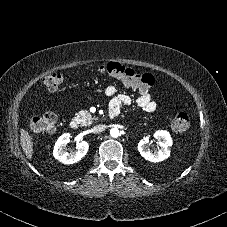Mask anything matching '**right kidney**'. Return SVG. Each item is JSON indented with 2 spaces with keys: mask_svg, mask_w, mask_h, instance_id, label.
<instances>
[{
  "mask_svg": "<svg viewBox=\"0 0 227 227\" xmlns=\"http://www.w3.org/2000/svg\"><path fill=\"white\" fill-rule=\"evenodd\" d=\"M70 134L65 133L58 138L55 143L53 155L55 159L59 160L64 164H73L80 161L87 153L89 144L86 141H81L77 145V150L73 153H68L66 145L70 141Z\"/></svg>",
  "mask_w": 227,
  "mask_h": 227,
  "instance_id": "ca27d5eb",
  "label": "right kidney"
}]
</instances>
